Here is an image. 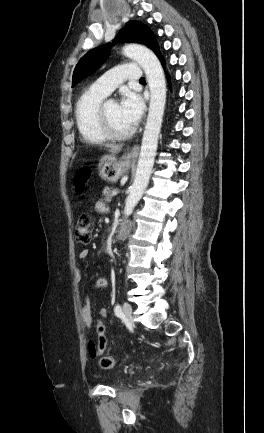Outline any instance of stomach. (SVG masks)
<instances>
[{
	"mask_svg": "<svg viewBox=\"0 0 264 433\" xmlns=\"http://www.w3.org/2000/svg\"><path fill=\"white\" fill-rule=\"evenodd\" d=\"M132 164V160L127 155L119 160L113 155H105L98 164L99 176L107 182L115 183L132 167Z\"/></svg>",
	"mask_w": 264,
	"mask_h": 433,
	"instance_id": "1",
	"label": "stomach"
}]
</instances>
